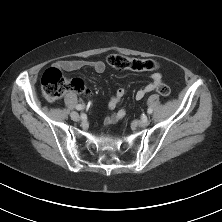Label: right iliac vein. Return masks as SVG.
Returning a JSON list of instances; mask_svg holds the SVG:
<instances>
[{
	"instance_id": "63e3f726",
	"label": "right iliac vein",
	"mask_w": 222,
	"mask_h": 222,
	"mask_svg": "<svg viewBox=\"0 0 222 222\" xmlns=\"http://www.w3.org/2000/svg\"><path fill=\"white\" fill-rule=\"evenodd\" d=\"M70 116H71V119L74 121H78L80 119L79 114L75 111L71 112Z\"/></svg>"
}]
</instances>
